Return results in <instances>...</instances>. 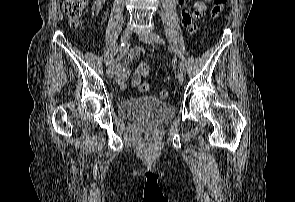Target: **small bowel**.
I'll return each instance as SVG.
<instances>
[{
  "label": "small bowel",
  "mask_w": 295,
  "mask_h": 202,
  "mask_svg": "<svg viewBox=\"0 0 295 202\" xmlns=\"http://www.w3.org/2000/svg\"><path fill=\"white\" fill-rule=\"evenodd\" d=\"M187 0H177L178 5L181 7V19L182 24L187 29L193 30L196 28V21L199 20L205 13L208 4L211 0H201V1H195L192 4L191 11L187 10L185 8ZM106 3V0H94L92 7H91V13L92 15H98L104 5ZM140 54V50H130L125 51L122 53L120 59L116 62L115 68L117 71V82L119 86L122 89H126V80L129 75V62L134 60L138 55ZM145 77L144 75H136V72L134 73V76L132 78V86L136 87L140 84L142 78Z\"/></svg>",
  "instance_id": "small-bowel-1"
}]
</instances>
